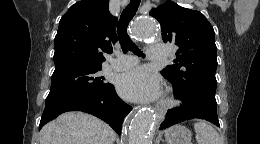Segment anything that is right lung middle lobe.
Here are the masks:
<instances>
[{"mask_svg":"<svg viewBox=\"0 0 260 144\" xmlns=\"http://www.w3.org/2000/svg\"><path fill=\"white\" fill-rule=\"evenodd\" d=\"M101 65L74 64L55 69L47 98L63 95L91 96L114 86L99 76Z\"/></svg>","mask_w":260,"mask_h":144,"instance_id":"right-lung-middle-lobe-1","label":"right lung middle lobe"}]
</instances>
